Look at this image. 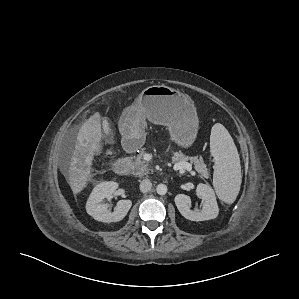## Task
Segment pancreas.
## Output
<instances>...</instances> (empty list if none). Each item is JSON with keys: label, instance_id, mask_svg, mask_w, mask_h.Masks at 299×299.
I'll use <instances>...</instances> for the list:
<instances>
[{"label": "pancreas", "instance_id": "pancreas-1", "mask_svg": "<svg viewBox=\"0 0 299 299\" xmlns=\"http://www.w3.org/2000/svg\"><path fill=\"white\" fill-rule=\"evenodd\" d=\"M142 155L143 153L128 158V161L130 162L131 169H132L131 173L139 177H142L144 175L149 174L150 172H153V170L148 167V163L145 160H143ZM172 161L175 164L180 162L190 161L194 165L195 170L200 174V176L206 177L208 175L206 165L204 164L202 158L188 157L185 156L181 151H179L173 154Z\"/></svg>", "mask_w": 299, "mask_h": 299}]
</instances>
